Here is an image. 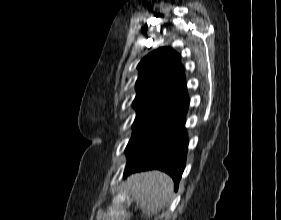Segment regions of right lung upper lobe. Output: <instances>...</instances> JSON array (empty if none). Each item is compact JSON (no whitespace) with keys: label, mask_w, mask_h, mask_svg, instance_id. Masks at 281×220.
<instances>
[{"label":"right lung upper lobe","mask_w":281,"mask_h":220,"mask_svg":"<svg viewBox=\"0 0 281 220\" xmlns=\"http://www.w3.org/2000/svg\"><path fill=\"white\" fill-rule=\"evenodd\" d=\"M136 118L173 119L189 105L185 76L179 55L169 47L159 48L138 64Z\"/></svg>","instance_id":"1"}]
</instances>
